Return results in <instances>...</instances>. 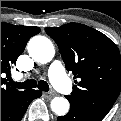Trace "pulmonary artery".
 <instances>
[{
	"label": "pulmonary artery",
	"instance_id": "1",
	"mask_svg": "<svg viewBox=\"0 0 121 121\" xmlns=\"http://www.w3.org/2000/svg\"><path fill=\"white\" fill-rule=\"evenodd\" d=\"M52 83L64 93L71 92V85L65 76L64 66L60 61H54L49 68Z\"/></svg>",
	"mask_w": 121,
	"mask_h": 121
}]
</instances>
